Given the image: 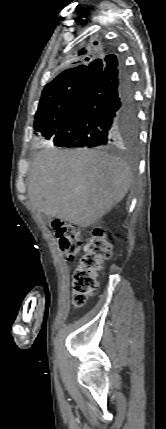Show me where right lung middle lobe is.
<instances>
[{"mask_svg":"<svg viewBox=\"0 0 166 429\" xmlns=\"http://www.w3.org/2000/svg\"><path fill=\"white\" fill-rule=\"evenodd\" d=\"M83 75L66 78L42 92L35 115L34 129L49 139L61 125L72 97ZM137 126L117 130L114 138L134 146L137 142Z\"/></svg>","mask_w":166,"mask_h":429,"instance_id":"obj_1","label":"right lung middle lobe"}]
</instances>
